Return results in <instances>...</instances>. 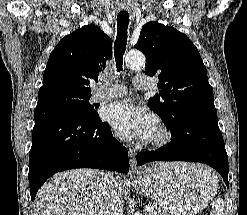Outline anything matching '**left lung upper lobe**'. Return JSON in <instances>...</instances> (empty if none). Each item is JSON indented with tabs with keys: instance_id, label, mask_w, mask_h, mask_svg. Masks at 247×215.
Returning a JSON list of instances; mask_svg holds the SVG:
<instances>
[{
	"instance_id": "5c2ea615",
	"label": "left lung upper lobe",
	"mask_w": 247,
	"mask_h": 215,
	"mask_svg": "<svg viewBox=\"0 0 247 215\" xmlns=\"http://www.w3.org/2000/svg\"><path fill=\"white\" fill-rule=\"evenodd\" d=\"M135 47L146 55L145 73L159 78L161 91L148 104L169 129L199 117L217 119L206 67L185 34L152 21L142 27Z\"/></svg>"
}]
</instances>
